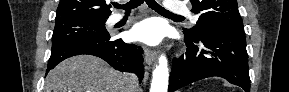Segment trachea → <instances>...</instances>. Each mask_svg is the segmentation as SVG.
Listing matches in <instances>:
<instances>
[{
	"mask_svg": "<svg viewBox=\"0 0 289 92\" xmlns=\"http://www.w3.org/2000/svg\"><path fill=\"white\" fill-rule=\"evenodd\" d=\"M144 1L147 3V5L151 9H153V10H155L157 12L164 13V14H167V15H170V16H174V17H178V18H184L183 16L173 14V13L169 12L168 10L164 9L155 0H131V1H129L128 3H126L124 5H120V4L115 3L114 7L115 8H122L126 12H130L131 9H134V8L140 6Z\"/></svg>",
	"mask_w": 289,
	"mask_h": 92,
	"instance_id": "1",
	"label": "trachea"
}]
</instances>
